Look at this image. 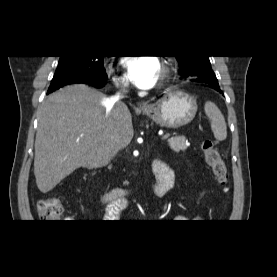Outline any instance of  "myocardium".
<instances>
[{"instance_id":"1","label":"myocardium","mask_w":277,"mask_h":277,"mask_svg":"<svg viewBox=\"0 0 277 277\" xmlns=\"http://www.w3.org/2000/svg\"><path fill=\"white\" fill-rule=\"evenodd\" d=\"M168 77H169V69L168 67L163 66L160 73L159 86H162L167 81Z\"/></svg>"}]
</instances>
